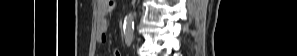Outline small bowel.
Returning <instances> with one entry per match:
<instances>
[{"label": "small bowel", "instance_id": "obj_1", "mask_svg": "<svg viewBox=\"0 0 297 56\" xmlns=\"http://www.w3.org/2000/svg\"><path fill=\"white\" fill-rule=\"evenodd\" d=\"M97 7H98V15H99V19H100V33H99L98 41L101 42V43H104L107 40L106 16L113 8V1H110V0H98L97 1ZM114 55L115 56H121V52L119 50H116Z\"/></svg>", "mask_w": 297, "mask_h": 56}]
</instances>
